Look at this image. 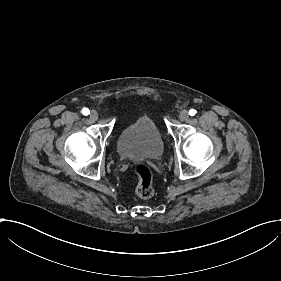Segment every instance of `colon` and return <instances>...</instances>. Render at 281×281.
Listing matches in <instances>:
<instances>
[{
  "instance_id": "colon-1",
  "label": "colon",
  "mask_w": 281,
  "mask_h": 281,
  "mask_svg": "<svg viewBox=\"0 0 281 281\" xmlns=\"http://www.w3.org/2000/svg\"><path fill=\"white\" fill-rule=\"evenodd\" d=\"M130 174L136 185L134 193L136 196L145 198L153 194L155 188V179L151 168L146 164H135L130 169Z\"/></svg>"
}]
</instances>
